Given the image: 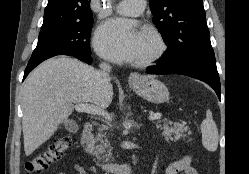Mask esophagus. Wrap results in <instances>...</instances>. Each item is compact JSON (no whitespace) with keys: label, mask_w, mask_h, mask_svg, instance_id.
Wrapping results in <instances>:
<instances>
[{"label":"esophagus","mask_w":249,"mask_h":174,"mask_svg":"<svg viewBox=\"0 0 249 174\" xmlns=\"http://www.w3.org/2000/svg\"><path fill=\"white\" fill-rule=\"evenodd\" d=\"M139 79H140V75L137 72L131 73L129 76L130 83H135V82L139 81Z\"/></svg>","instance_id":"obj_1"}]
</instances>
